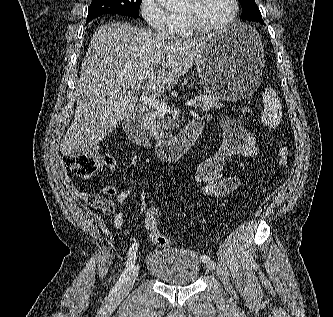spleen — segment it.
I'll list each match as a JSON object with an SVG mask.
<instances>
[{"instance_id":"spleen-1","label":"spleen","mask_w":333,"mask_h":317,"mask_svg":"<svg viewBox=\"0 0 333 317\" xmlns=\"http://www.w3.org/2000/svg\"><path fill=\"white\" fill-rule=\"evenodd\" d=\"M264 111L261 114L262 123L269 128L279 126L282 118V106L278 94L272 88L263 93Z\"/></svg>"}]
</instances>
